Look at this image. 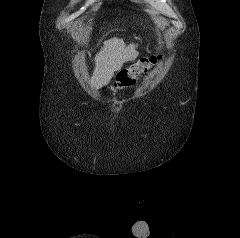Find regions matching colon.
I'll return each instance as SVG.
<instances>
[{
  "label": "colon",
  "mask_w": 240,
  "mask_h": 238,
  "mask_svg": "<svg viewBox=\"0 0 240 238\" xmlns=\"http://www.w3.org/2000/svg\"><path fill=\"white\" fill-rule=\"evenodd\" d=\"M160 59L161 57L156 55L143 57L121 69L111 84V89L119 90L133 85L139 76L148 72Z\"/></svg>",
  "instance_id": "colon-1"
}]
</instances>
